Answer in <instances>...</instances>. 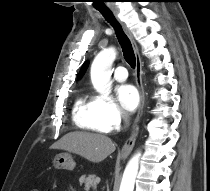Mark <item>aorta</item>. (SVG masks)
I'll use <instances>...</instances> for the list:
<instances>
[{
  "label": "aorta",
  "instance_id": "762f6f07",
  "mask_svg": "<svg viewBox=\"0 0 210 191\" xmlns=\"http://www.w3.org/2000/svg\"><path fill=\"white\" fill-rule=\"evenodd\" d=\"M116 57V50L113 47L104 49L94 59L91 66V81L94 88L102 96L111 93L112 82L110 79L111 67ZM141 153H136L128 162L123 173L119 191H133L135 179L139 169Z\"/></svg>",
  "mask_w": 210,
  "mask_h": 191
}]
</instances>
